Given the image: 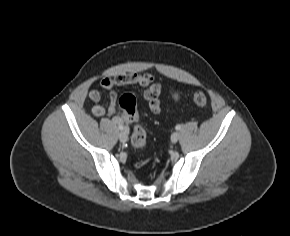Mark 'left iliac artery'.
<instances>
[{
	"label": "left iliac artery",
	"mask_w": 290,
	"mask_h": 236,
	"mask_svg": "<svg viewBox=\"0 0 290 236\" xmlns=\"http://www.w3.org/2000/svg\"><path fill=\"white\" fill-rule=\"evenodd\" d=\"M175 128H176V130H180L181 129V125H177Z\"/></svg>",
	"instance_id": "44dca946"
}]
</instances>
